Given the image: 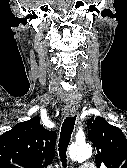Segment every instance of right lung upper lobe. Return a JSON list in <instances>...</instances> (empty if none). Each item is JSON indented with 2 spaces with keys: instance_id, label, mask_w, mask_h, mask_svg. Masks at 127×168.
<instances>
[{
  "instance_id": "right-lung-upper-lobe-1",
  "label": "right lung upper lobe",
  "mask_w": 127,
  "mask_h": 168,
  "mask_svg": "<svg viewBox=\"0 0 127 168\" xmlns=\"http://www.w3.org/2000/svg\"><path fill=\"white\" fill-rule=\"evenodd\" d=\"M56 137L38 117L16 124L0 136V168H44L53 160Z\"/></svg>"
}]
</instances>
